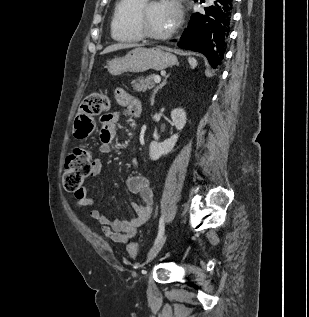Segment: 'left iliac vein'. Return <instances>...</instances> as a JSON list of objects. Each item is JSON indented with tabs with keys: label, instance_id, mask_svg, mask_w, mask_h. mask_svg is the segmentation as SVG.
<instances>
[{
	"label": "left iliac vein",
	"instance_id": "4c4485c4",
	"mask_svg": "<svg viewBox=\"0 0 309 317\" xmlns=\"http://www.w3.org/2000/svg\"><path fill=\"white\" fill-rule=\"evenodd\" d=\"M166 239H167V235L165 234L152 246V248L150 249L147 255L146 263L151 262L156 257V255L159 253V251L165 244Z\"/></svg>",
	"mask_w": 309,
	"mask_h": 317
}]
</instances>
